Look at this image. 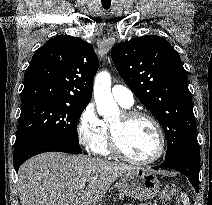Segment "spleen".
<instances>
[{
  "label": "spleen",
  "mask_w": 212,
  "mask_h": 205,
  "mask_svg": "<svg viewBox=\"0 0 212 205\" xmlns=\"http://www.w3.org/2000/svg\"><path fill=\"white\" fill-rule=\"evenodd\" d=\"M181 200L183 202V205H190V201L188 196L185 193H181Z\"/></svg>",
  "instance_id": "spleen-1"
}]
</instances>
